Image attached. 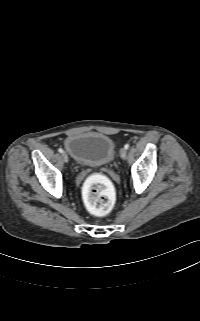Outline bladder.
Masks as SVG:
<instances>
[{
    "label": "bladder",
    "instance_id": "bladder-1",
    "mask_svg": "<svg viewBox=\"0 0 200 321\" xmlns=\"http://www.w3.org/2000/svg\"><path fill=\"white\" fill-rule=\"evenodd\" d=\"M64 147L74 161L86 166L106 165L115 155L113 140L108 135L94 131L68 136Z\"/></svg>",
    "mask_w": 200,
    "mask_h": 321
}]
</instances>
